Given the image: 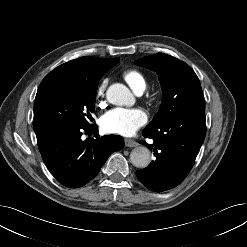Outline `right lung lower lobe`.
<instances>
[{"label": "right lung lower lobe", "instance_id": "98d812e1", "mask_svg": "<svg viewBox=\"0 0 247 247\" xmlns=\"http://www.w3.org/2000/svg\"><path fill=\"white\" fill-rule=\"evenodd\" d=\"M34 128L41 156L55 179L69 188L91 181L108 157L124 147L121 136L99 137L96 124L78 127L68 124H41ZM95 133V139L81 137Z\"/></svg>", "mask_w": 247, "mask_h": 247}]
</instances>
